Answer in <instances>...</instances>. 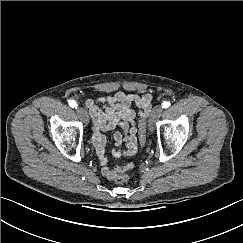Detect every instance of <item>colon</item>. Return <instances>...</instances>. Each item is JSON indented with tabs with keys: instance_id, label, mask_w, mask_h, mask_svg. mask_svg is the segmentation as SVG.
Returning a JSON list of instances; mask_svg holds the SVG:
<instances>
[{
	"instance_id": "obj_1",
	"label": "colon",
	"mask_w": 243,
	"mask_h": 243,
	"mask_svg": "<svg viewBox=\"0 0 243 243\" xmlns=\"http://www.w3.org/2000/svg\"><path fill=\"white\" fill-rule=\"evenodd\" d=\"M139 138L142 144L146 139V122L144 118H141L138 123ZM132 163H126L120 168V173L117 175L115 181L119 184H123L129 180V175L126 171L132 168Z\"/></svg>"
}]
</instances>
